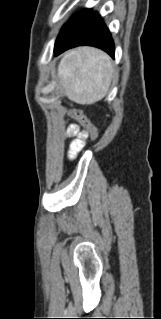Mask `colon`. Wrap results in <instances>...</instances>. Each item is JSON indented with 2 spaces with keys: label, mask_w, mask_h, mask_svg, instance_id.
<instances>
[{
  "label": "colon",
  "mask_w": 161,
  "mask_h": 319,
  "mask_svg": "<svg viewBox=\"0 0 161 319\" xmlns=\"http://www.w3.org/2000/svg\"><path fill=\"white\" fill-rule=\"evenodd\" d=\"M74 119L80 124L84 133L85 139L89 138L91 141L97 139L98 132L96 127L92 124V122L85 116V114L79 109H73L71 111Z\"/></svg>",
  "instance_id": "5ec220e1"
}]
</instances>
